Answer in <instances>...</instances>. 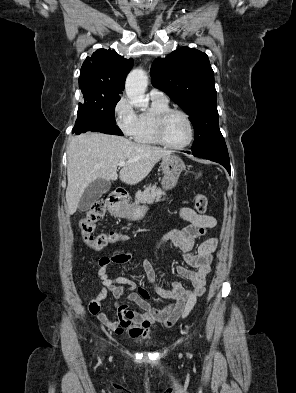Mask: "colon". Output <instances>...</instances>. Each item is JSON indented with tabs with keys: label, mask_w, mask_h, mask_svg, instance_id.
Here are the masks:
<instances>
[{
	"label": "colon",
	"mask_w": 296,
	"mask_h": 393,
	"mask_svg": "<svg viewBox=\"0 0 296 393\" xmlns=\"http://www.w3.org/2000/svg\"><path fill=\"white\" fill-rule=\"evenodd\" d=\"M194 208L198 213H204L207 208V198L203 194H195L193 197ZM106 203L104 200L97 201L80 221L79 227L84 242L95 250L119 242L122 237L117 232L95 234L96 222L105 214Z\"/></svg>",
	"instance_id": "obj_1"
}]
</instances>
